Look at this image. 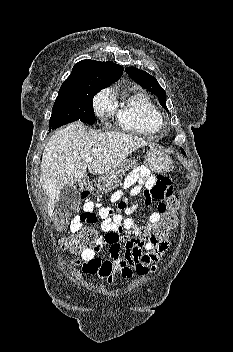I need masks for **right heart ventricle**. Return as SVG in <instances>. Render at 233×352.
<instances>
[{
	"mask_svg": "<svg viewBox=\"0 0 233 352\" xmlns=\"http://www.w3.org/2000/svg\"><path fill=\"white\" fill-rule=\"evenodd\" d=\"M120 128L139 135H153L162 127V116L152 100L141 91H134L118 105Z\"/></svg>",
	"mask_w": 233,
	"mask_h": 352,
	"instance_id": "1",
	"label": "right heart ventricle"
}]
</instances>
